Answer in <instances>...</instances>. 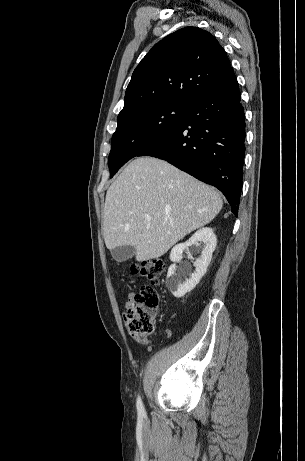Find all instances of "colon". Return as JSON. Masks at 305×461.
<instances>
[{
    "label": "colon",
    "mask_w": 305,
    "mask_h": 461,
    "mask_svg": "<svg viewBox=\"0 0 305 461\" xmlns=\"http://www.w3.org/2000/svg\"><path fill=\"white\" fill-rule=\"evenodd\" d=\"M165 263L161 259H148L131 267L132 275H141L152 284L161 281ZM159 294L150 286H143L137 293L126 310L129 330L134 334L149 335L154 331Z\"/></svg>",
    "instance_id": "1"
}]
</instances>
